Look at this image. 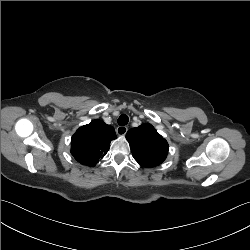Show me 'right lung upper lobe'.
Listing matches in <instances>:
<instances>
[{"label":"right lung upper lobe","instance_id":"obj_1","mask_svg":"<svg viewBox=\"0 0 250 250\" xmlns=\"http://www.w3.org/2000/svg\"><path fill=\"white\" fill-rule=\"evenodd\" d=\"M116 139L115 130L101 120H93L80 127L71 140V154L83 165L95 166Z\"/></svg>","mask_w":250,"mask_h":250}]
</instances>
